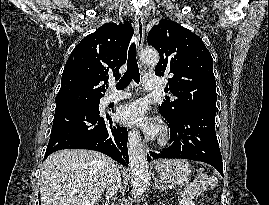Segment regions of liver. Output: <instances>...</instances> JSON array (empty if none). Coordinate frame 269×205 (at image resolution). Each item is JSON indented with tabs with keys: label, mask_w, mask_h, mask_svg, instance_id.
Segmentation results:
<instances>
[{
	"label": "liver",
	"mask_w": 269,
	"mask_h": 205,
	"mask_svg": "<svg viewBox=\"0 0 269 205\" xmlns=\"http://www.w3.org/2000/svg\"><path fill=\"white\" fill-rule=\"evenodd\" d=\"M112 164L111 158L92 150L66 149L51 154L41 172V205H96Z\"/></svg>",
	"instance_id": "1"
}]
</instances>
